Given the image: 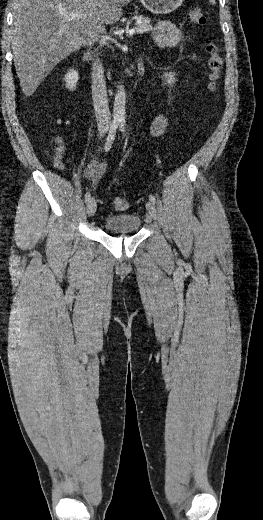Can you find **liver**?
<instances>
[{
    "label": "liver",
    "mask_w": 263,
    "mask_h": 520,
    "mask_svg": "<svg viewBox=\"0 0 263 520\" xmlns=\"http://www.w3.org/2000/svg\"><path fill=\"white\" fill-rule=\"evenodd\" d=\"M132 0H15L11 43L20 86L31 96L49 72L122 16ZM78 12L82 19L63 14Z\"/></svg>",
    "instance_id": "1"
}]
</instances>
